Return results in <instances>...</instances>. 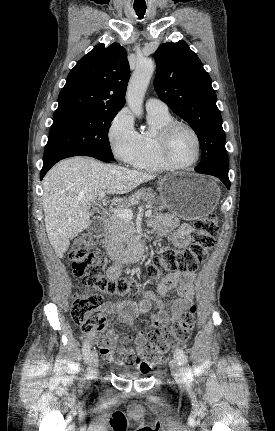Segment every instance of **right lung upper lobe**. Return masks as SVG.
<instances>
[{"label": "right lung upper lobe", "mask_w": 275, "mask_h": 431, "mask_svg": "<svg viewBox=\"0 0 275 431\" xmlns=\"http://www.w3.org/2000/svg\"><path fill=\"white\" fill-rule=\"evenodd\" d=\"M130 78L126 50L117 43L96 45L68 74L55 113L74 110L119 111Z\"/></svg>", "instance_id": "right-lung-upper-lobe-1"}]
</instances>
